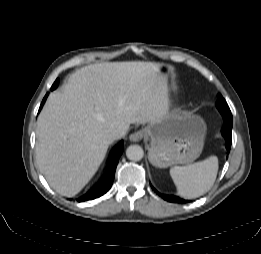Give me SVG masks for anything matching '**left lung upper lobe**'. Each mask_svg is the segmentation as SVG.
I'll return each instance as SVG.
<instances>
[{
    "label": "left lung upper lobe",
    "mask_w": 261,
    "mask_h": 254,
    "mask_svg": "<svg viewBox=\"0 0 261 254\" xmlns=\"http://www.w3.org/2000/svg\"><path fill=\"white\" fill-rule=\"evenodd\" d=\"M216 106L221 113L231 114L225 99L221 95H219V100L217 101Z\"/></svg>",
    "instance_id": "1"
}]
</instances>
